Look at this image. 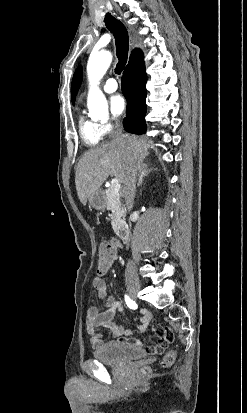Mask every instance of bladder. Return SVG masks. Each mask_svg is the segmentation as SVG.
Returning <instances> with one entry per match:
<instances>
[{
  "mask_svg": "<svg viewBox=\"0 0 247 413\" xmlns=\"http://www.w3.org/2000/svg\"><path fill=\"white\" fill-rule=\"evenodd\" d=\"M145 351L140 347L118 342H107L94 351V358L114 364H125L133 359L143 358Z\"/></svg>",
  "mask_w": 247,
  "mask_h": 413,
  "instance_id": "obj_1",
  "label": "bladder"
}]
</instances>
